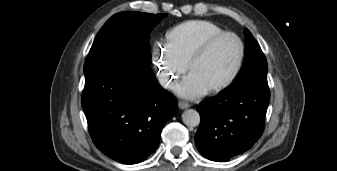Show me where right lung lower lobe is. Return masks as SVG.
I'll return each mask as SVG.
<instances>
[{
	"label": "right lung lower lobe",
	"instance_id": "obj_1",
	"mask_svg": "<svg viewBox=\"0 0 337 171\" xmlns=\"http://www.w3.org/2000/svg\"><path fill=\"white\" fill-rule=\"evenodd\" d=\"M84 74L82 108L95 146L121 163L146 160L176 112V98L160 87L152 70L111 63Z\"/></svg>",
	"mask_w": 337,
	"mask_h": 171
}]
</instances>
